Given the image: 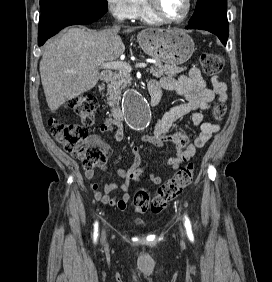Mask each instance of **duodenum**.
I'll use <instances>...</instances> for the list:
<instances>
[{"mask_svg":"<svg viewBox=\"0 0 272 282\" xmlns=\"http://www.w3.org/2000/svg\"><path fill=\"white\" fill-rule=\"evenodd\" d=\"M113 70H105L102 72L101 79L109 81L112 78ZM147 90L150 96V105L155 107L161 100V86L158 80L150 79L147 83ZM110 116L115 120H121L123 117L122 110L118 104H112L109 109Z\"/></svg>","mask_w":272,"mask_h":282,"instance_id":"duodenum-1","label":"duodenum"}]
</instances>
